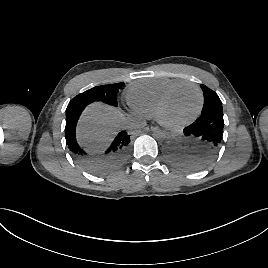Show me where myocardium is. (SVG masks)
Masks as SVG:
<instances>
[{
    "instance_id": "obj_1",
    "label": "myocardium",
    "mask_w": 268,
    "mask_h": 268,
    "mask_svg": "<svg viewBox=\"0 0 268 268\" xmlns=\"http://www.w3.org/2000/svg\"><path fill=\"white\" fill-rule=\"evenodd\" d=\"M186 86H191V87L195 88L198 92L199 104H198L196 111L194 112V114L192 116H190L189 118H187L181 122H178V123H170V122L164 120L162 117V113H163L164 107L166 106L167 102L169 101V99L172 97V95L176 91H178L179 89L186 87ZM203 104H204V94H203L202 89L195 83L184 81L182 83H179V84L171 87L163 95V97L160 99V101L157 105L156 112H155V118L161 126L167 128V129L173 130V131H177V130H180V129L186 127L187 125L191 124L194 120H196V118L201 113V110L203 108Z\"/></svg>"
}]
</instances>
